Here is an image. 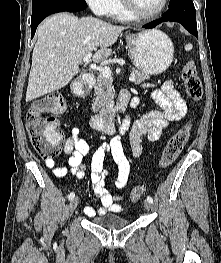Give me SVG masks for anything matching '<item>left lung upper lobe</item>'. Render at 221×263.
Instances as JSON below:
<instances>
[{
    "mask_svg": "<svg viewBox=\"0 0 221 263\" xmlns=\"http://www.w3.org/2000/svg\"><path fill=\"white\" fill-rule=\"evenodd\" d=\"M183 0H170V4H174V3H177V2H181Z\"/></svg>",
    "mask_w": 221,
    "mask_h": 263,
    "instance_id": "left-lung-upper-lobe-1",
    "label": "left lung upper lobe"
}]
</instances>
